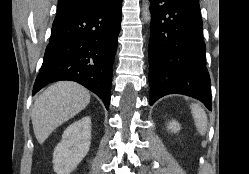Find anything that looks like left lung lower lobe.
Here are the masks:
<instances>
[{"mask_svg": "<svg viewBox=\"0 0 249 174\" xmlns=\"http://www.w3.org/2000/svg\"><path fill=\"white\" fill-rule=\"evenodd\" d=\"M150 104L167 94H183L211 110L200 8L186 0H149Z\"/></svg>", "mask_w": 249, "mask_h": 174, "instance_id": "0a47b994", "label": "left lung lower lobe"}]
</instances>
